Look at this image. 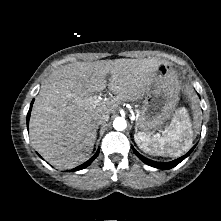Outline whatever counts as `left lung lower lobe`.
<instances>
[{
    "mask_svg": "<svg viewBox=\"0 0 221 221\" xmlns=\"http://www.w3.org/2000/svg\"><path fill=\"white\" fill-rule=\"evenodd\" d=\"M195 146H193L192 149L184 156L168 163H161V162H155V161L149 160L146 157L139 154L134 148H133V151L137 155V157H139L144 163L148 164L149 166H152L158 169H171L175 167L177 164H179L181 161H183L186 157H188L190 153L193 151V149L195 148Z\"/></svg>",
    "mask_w": 221,
    "mask_h": 221,
    "instance_id": "1",
    "label": "left lung lower lobe"
}]
</instances>
